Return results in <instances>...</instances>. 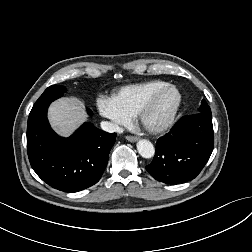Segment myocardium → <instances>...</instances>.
<instances>
[{
	"label": "myocardium",
	"mask_w": 252,
	"mask_h": 252,
	"mask_svg": "<svg viewBox=\"0 0 252 252\" xmlns=\"http://www.w3.org/2000/svg\"><path fill=\"white\" fill-rule=\"evenodd\" d=\"M173 90L177 94V100L175 103V106L169 115V117L161 124L159 125H151L147 122L146 117L149 111L153 108L156 101L159 99V97L166 91ZM183 104V95L181 90L174 84H167L157 90H155L148 99L140 106L136 117L139 122V124L149 133L152 134H162L166 131H168L173 124L175 123V120L181 110Z\"/></svg>",
	"instance_id": "myocardium-1"
}]
</instances>
